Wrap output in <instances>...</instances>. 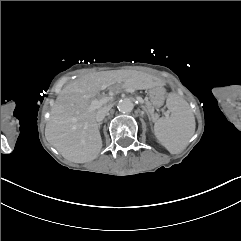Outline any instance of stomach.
<instances>
[{
  "mask_svg": "<svg viewBox=\"0 0 241 241\" xmlns=\"http://www.w3.org/2000/svg\"><path fill=\"white\" fill-rule=\"evenodd\" d=\"M150 103L154 107H161L165 100V90L162 87H156L149 91Z\"/></svg>",
  "mask_w": 241,
  "mask_h": 241,
  "instance_id": "1",
  "label": "stomach"
}]
</instances>
